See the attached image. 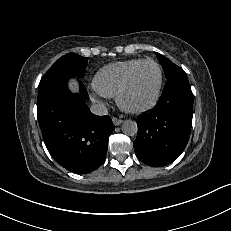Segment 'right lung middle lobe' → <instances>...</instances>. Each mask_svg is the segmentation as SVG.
Here are the masks:
<instances>
[{"label": "right lung middle lobe", "mask_w": 231, "mask_h": 231, "mask_svg": "<svg viewBox=\"0 0 231 231\" xmlns=\"http://www.w3.org/2000/svg\"><path fill=\"white\" fill-rule=\"evenodd\" d=\"M87 61V57L75 53L62 56L45 73L40 81L39 88L57 78L83 76L86 72Z\"/></svg>", "instance_id": "right-lung-middle-lobe-1"}]
</instances>
